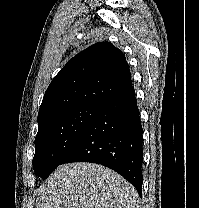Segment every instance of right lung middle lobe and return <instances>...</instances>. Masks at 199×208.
Masks as SVG:
<instances>
[{"label": "right lung middle lobe", "instance_id": "dd1d6c3e", "mask_svg": "<svg viewBox=\"0 0 199 208\" xmlns=\"http://www.w3.org/2000/svg\"><path fill=\"white\" fill-rule=\"evenodd\" d=\"M100 106H82L59 112L39 123L32 161L36 174L47 178L77 144Z\"/></svg>", "mask_w": 199, "mask_h": 208}]
</instances>
